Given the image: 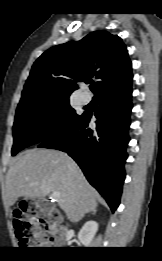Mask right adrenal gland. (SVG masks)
I'll list each match as a JSON object with an SVG mask.
<instances>
[{"label": "right adrenal gland", "instance_id": "2a0ac1e0", "mask_svg": "<svg viewBox=\"0 0 162 261\" xmlns=\"http://www.w3.org/2000/svg\"><path fill=\"white\" fill-rule=\"evenodd\" d=\"M96 213V211L94 210V211H92V214H95Z\"/></svg>", "mask_w": 162, "mask_h": 261}]
</instances>
